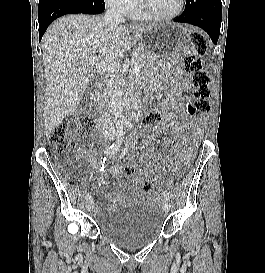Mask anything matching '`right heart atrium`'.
Segmentation results:
<instances>
[{"instance_id":"obj_1","label":"right heart atrium","mask_w":265,"mask_h":273,"mask_svg":"<svg viewBox=\"0 0 265 273\" xmlns=\"http://www.w3.org/2000/svg\"><path fill=\"white\" fill-rule=\"evenodd\" d=\"M104 2L108 7L122 14H127L134 9L138 0H104Z\"/></svg>"}]
</instances>
